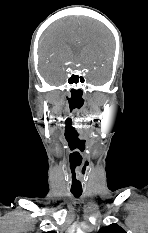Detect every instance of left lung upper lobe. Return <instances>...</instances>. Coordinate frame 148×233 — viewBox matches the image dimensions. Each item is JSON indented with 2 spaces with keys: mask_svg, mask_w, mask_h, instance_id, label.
Here are the masks:
<instances>
[{
  "mask_svg": "<svg viewBox=\"0 0 148 233\" xmlns=\"http://www.w3.org/2000/svg\"><path fill=\"white\" fill-rule=\"evenodd\" d=\"M98 233H126L120 226L116 223L111 224L107 227L101 228Z\"/></svg>",
  "mask_w": 148,
  "mask_h": 233,
  "instance_id": "left-lung-upper-lobe-1",
  "label": "left lung upper lobe"
}]
</instances>
